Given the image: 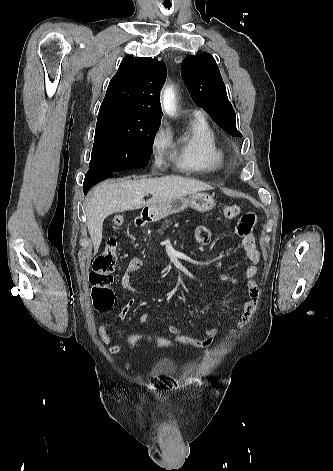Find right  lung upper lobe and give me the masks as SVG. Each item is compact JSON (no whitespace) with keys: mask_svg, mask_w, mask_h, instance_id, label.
<instances>
[{"mask_svg":"<svg viewBox=\"0 0 333 471\" xmlns=\"http://www.w3.org/2000/svg\"><path fill=\"white\" fill-rule=\"evenodd\" d=\"M165 79L164 62L149 57H124L109 83L98 118L160 122L159 96Z\"/></svg>","mask_w":333,"mask_h":471,"instance_id":"obj_1","label":"right lung upper lobe"}]
</instances>
